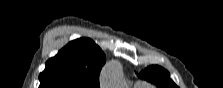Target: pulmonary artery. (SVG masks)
Wrapping results in <instances>:
<instances>
[{
	"label": "pulmonary artery",
	"mask_w": 223,
	"mask_h": 88,
	"mask_svg": "<svg viewBox=\"0 0 223 88\" xmlns=\"http://www.w3.org/2000/svg\"><path fill=\"white\" fill-rule=\"evenodd\" d=\"M141 85H144V84L141 82L136 83V86H141Z\"/></svg>",
	"instance_id": "obj_1"
}]
</instances>
